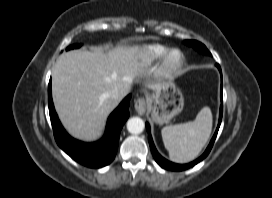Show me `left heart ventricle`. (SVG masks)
Masks as SVG:
<instances>
[{
	"label": "left heart ventricle",
	"instance_id": "obj_1",
	"mask_svg": "<svg viewBox=\"0 0 272 198\" xmlns=\"http://www.w3.org/2000/svg\"><path fill=\"white\" fill-rule=\"evenodd\" d=\"M176 58H177V56H176V55H174L173 60H175Z\"/></svg>",
	"mask_w": 272,
	"mask_h": 198
}]
</instances>
